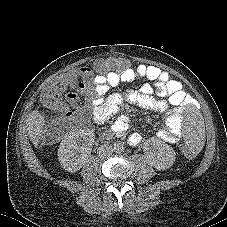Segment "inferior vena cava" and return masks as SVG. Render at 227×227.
I'll list each match as a JSON object with an SVG mask.
<instances>
[{
  "label": "inferior vena cava",
  "mask_w": 227,
  "mask_h": 227,
  "mask_svg": "<svg viewBox=\"0 0 227 227\" xmlns=\"http://www.w3.org/2000/svg\"><path fill=\"white\" fill-rule=\"evenodd\" d=\"M113 149L110 145L104 144L98 148V156L100 158H108L112 155Z\"/></svg>",
  "instance_id": "602c4592"
}]
</instances>
